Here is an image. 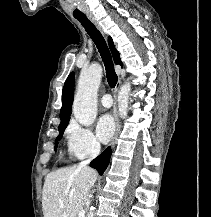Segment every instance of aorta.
Returning a JSON list of instances; mask_svg holds the SVG:
<instances>
[{
  "mask_svg": "<svg viewBox=\"0 0 211 217\" xmlns=\"http://www.w3.org/2000/svg\"><path fill=\"white\" fill-rule=\"evenodd\" d=\"M102 78V67L93 64L80 73L77 93L73 102L75 119L84 126H90L97 116V92ZM131 85L124 83L118 93V109L120 117L127 116L128 99ZM94 207L90 208L88 217H94Z\"/></svg>",
  "mask_w": 211,
  "mask_h": 217,
  "instance_id": "obj_1",
  "label": "aorta"
}]
</instances>
